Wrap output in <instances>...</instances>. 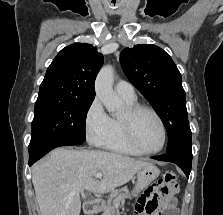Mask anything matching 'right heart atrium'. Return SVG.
<instances>
[{
  "instance_id": "obj_1",
  "label": "right heart atrium",
  "mask_w": 223,
  "mask_h": 215,
  "mask_svg": "<svg viewBox=\"0 0 223 215\" xmlns=\"http://www.w3.org/2000/svg\"><path fill=\"white\" fill-rule=\"evenodd\" d=\"M84 128L94 143H100L111 128V117L98 98H94L87 109Z\"/></svg>"
}]
</instances>
